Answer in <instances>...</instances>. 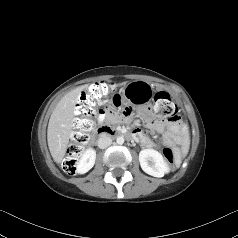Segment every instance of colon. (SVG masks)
<instances>
[{
  "instance_id": "obj_1",
  "label": "colon",
  "mask_w": 238,
  "mask_h": 238,
  "mask_svg": "<svg viewBox=\"0 0 238 238\" xmlns=\"http://www.w3.org/2000/svg\"><path fill=\"white\" fill-rule=\"evenodd\" d=\"M110 91V85L99 82L91 85L79 97L76 105L77 116L74 120V131L71 134L70 143L62 162L63 169L67 173H75L77 160L90 141L91 132L94 128L92 118L96 115L98 105L102 103ZM130 112L131 109L127 108L125 114L129 115ZM178 112L177 103L171 99L168 93L159 92L155 95L152 112L154 115L168 121H176L178 120ZM163 155L169 166L174 168L176 160L173 149L165 147Z\"/></svg>"
}]
</instances>
